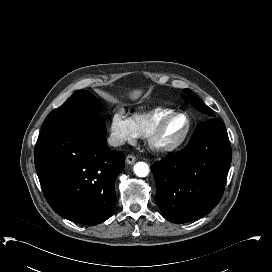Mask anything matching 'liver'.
Instances as JSON below:
<instances>
[{
	"label": "liver",
	"instance_id": "liver-1",
	"mask_svg": "<svg viewBox=\"0 0 272 272\" xmlns=\"http://www.w3.org/2000/svg\"><path fill=\"white\" fill-rule=\"evenodd\" d=\"M129 95L131 99H137L141 95V91L135 90L131 92Z\"/></svg>",
	"mask_w": 272,
	"mask_h": 272
}]
</instances>
